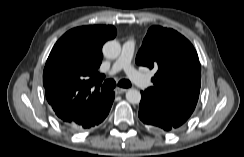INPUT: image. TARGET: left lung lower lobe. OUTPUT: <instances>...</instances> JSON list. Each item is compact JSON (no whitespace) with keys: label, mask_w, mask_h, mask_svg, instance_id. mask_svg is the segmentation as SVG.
I'll list each match as a JSON object with an SVG mask.
<instances>
[{"label":"left lung lower lobe","mask_w":244,"mask_h":157,"mask_svg":"<svg viewBox=\"0 0 244 157\" xmlns=\"http://www.w3.org/2000/svg\"><path fill=\"white\" fill-rule=\"evenodd\" d=\"M138 116L152 131L156 133H169L177 130L179 126L173 123L156 102L141 92Z\"/></svg>","instance_id":"0a47b994"}]
</instances>
